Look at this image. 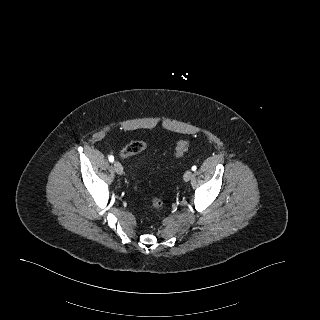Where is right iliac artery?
Masks as SVG:
<instances>
[{"mask_svg": "<svg viewBox=\"0 0 320 320\" xmlns=\"http://www.w3.org/2000/svg\"><path fill=\"white\" fill-rule=\"evenodd\" d=\"M109 161L113 162L114 161V157L112 155L109 156Z\"/></svg>", "mask_w": 320, "mask_h": 320, "instance_id": "obj_1", "label": "right iliac artery"}]
</instances>
